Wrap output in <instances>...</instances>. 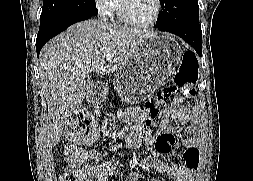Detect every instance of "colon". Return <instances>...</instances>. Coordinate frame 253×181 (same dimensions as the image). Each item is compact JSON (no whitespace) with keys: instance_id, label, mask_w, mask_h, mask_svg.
I'll return each instance as SVG.
<instances>
[{"instance_id":"1","label":"colon","mask_w":253,"mask_h":181,"mask_svg":"<svg viewBox=\"0 0 253 181\" xmlns=\"http://www.w3.org/2000/svg\"><path fill=\"white\" fill-rule=\"evenodd\" d=\"M198 61L197 58L186 52L182 63L175 73L172 84L164 87L153 97L147 107L148 113L153 116L158 111V105L170 99L173 95L180 92L183 96L189 97L197 85ZM97 132V122L95 118L85 110L76 111L67 123L65 136L70 146L91 143ZM62 181H86V178L75 172H68L62 177Z\"/></svg>"}]
</instances>
